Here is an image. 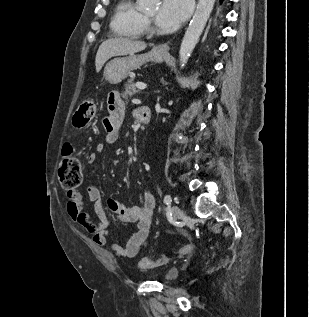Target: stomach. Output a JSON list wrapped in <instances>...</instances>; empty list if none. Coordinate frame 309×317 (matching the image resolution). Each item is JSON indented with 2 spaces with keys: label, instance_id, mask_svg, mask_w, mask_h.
Listing matches in <instances>:
<instances>
[{
  "label": "stomach",
  "instance_id": "1",
  "mask_svg": "<svg viewBox=\"0 0 309 317\" xmlns=\"http://www.w3.org/2000/svg\"><path fill=\"white\" fill-rule=\"evenodd\" d=\"M166 54L158 48H153L145 54H129L126 57L114 58L109 61L104 69V77L110 84H118L128 74L140 68L143 64L151 62H162Z\"/></svg>",
  "mask_w": 309,
  "mask_h": 317
}]
</instances>
